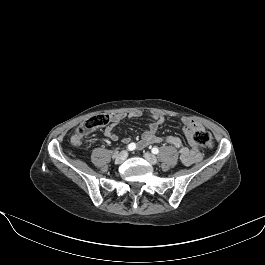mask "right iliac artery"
<instances>
[{"mask_svg":"<svg viewBox=\"0 0 265 265\" xmlns=\"http://www.w3.org/2000/svg\"><path fill=\"white\" fill-rule=\"evenodd\" d=\"M128 150L132 151L136 148V144L135 143H130L128 146H127Z\"/></svg>","mask_w":265,"mask_h":265,"instance_id":"82829eb1","label":"right iliac artery"}]
</instances>
